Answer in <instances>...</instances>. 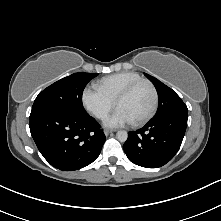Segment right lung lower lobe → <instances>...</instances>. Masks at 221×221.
Here are the masks:
<instances>
[{"label":"right lung lower lobe","mask_w":221,"mask_h":221,"mask_svg":"<svg viewBox=\"0 0 221 221\" xmlns=\"http://www.w3.org/2000/svg\"><path fill=\"white\" fill-rule=\"evenodd\" d=\"M29 127L43 157L64 171L91 164L106 140L98 122L87 112H42L30 117Z\"/></svg>","instance_id":"right-lung-lower-lobe-1"}]
</instances>
